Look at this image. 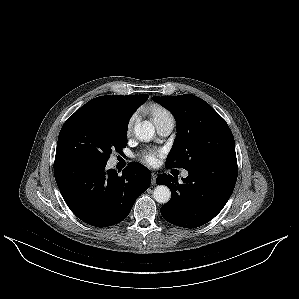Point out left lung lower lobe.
Returning a JSON list of instances; mask_svg holds the SVG:
<instances>
[{
  "mask_svg": "<svg viewBox=\"0 0 299 299\" xmlns=\"http://www.w3.org/2000/svg\"><path fill=\"white\" fill-rule=\"evenodd\" d=\"M187 171L182 184L166 174L159 175L156 183L172 192L170 201L161 207L163 218L180 227L196 228L212 220L227 203L237 179V159L207 160Z\"/></svg>",
  "mask_w": 299,
  "mask_h": 299,
  "instance_id": "1",
  "label": "left lung lower lobe"
}]
</instances>
